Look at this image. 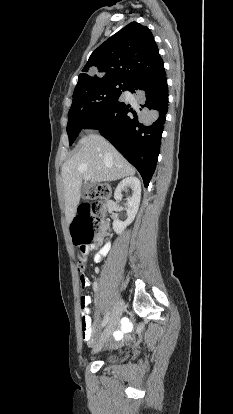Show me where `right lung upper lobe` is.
<instances>
[{
	"label": "right lung upper lobe",
	"mask_w": 233,
	"mask_h": 414,
	"mask_svg": "<svg viewBox=\"0 0 233 414\" xmlns=\"http://www.w3.org/2000/svg\"><path fill=\"white\" fill-rule=\"evenodd\" d=\"M91 69L96 74L89 75ZM164 69L148 27L131 22L91 54L79 75L74 94L104 81H123L154 75Z\"/></svg>",
	"instance_id": "right-lung-upper-lobe-1"
}]
</instances>
